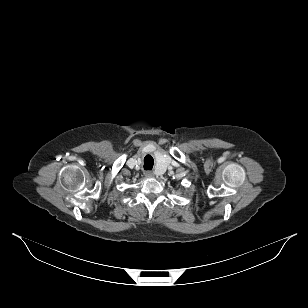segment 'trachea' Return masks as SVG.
I'll list each match as a JSON object with an SVG mask.
<instances>
[{
  "label": "trachea",
  "mask_w": 308,
  "mask_h": 308,
  "mask_svg": "<svg viewBox=\"0 0 308 308\" xmlns=\"http://www.w3.org/2000/svg\"><path fill=\"white\" fill-rule=\"evenodd\" d=\"M154 160L150 155L144 158V169L151 170L153 168Z\"/></svg>",
  "instance_id": "3493384b"
}]
</instances>
